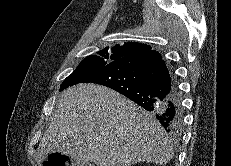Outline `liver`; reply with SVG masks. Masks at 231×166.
<instances>
[{"label":"liver","mask_w":231,"mask_h":166,"mask_svg":"<svg viewBox=\"0 0 231 166\" xmlns=\"http://www.w3.org/2000/svg\"><path fill=\"white\" fill-rule=\"evenodd\" d=\"M53 151L98 166L165 165L173 157V146L154 117L118 92L91 83L62 93L38 158Z\"/></svg>","instance_id":"obj_1"}]
</instances>
